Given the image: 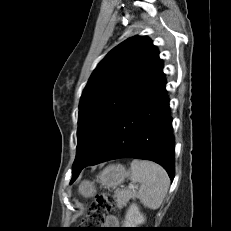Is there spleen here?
<instances>
[{
    "instance_id": "spleen-1",
    "label": "spleen",
    "mask_w": 231,
    "mask_h": 231,
    "mask_svg": "<svg viewBox=\"0 0 231 231\" xmlns=\"http://www.w3.org/2000/svg\"><path fill=\"white\" fill-rule=\"evenodd\" d=\"M129 176L138 182V197L141 203L150 209H158L166 196L170 185L167 172L160 165L147 160H134L130 164Z\"/></svg>"
}]
</instances>
